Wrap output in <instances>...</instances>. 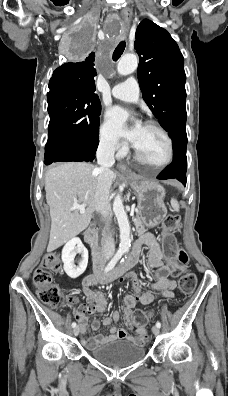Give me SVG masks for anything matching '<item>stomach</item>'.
Wrapping results in <instances>:
<instances>
[{"instance_id":"obj_1","label":"stomach","mask_w":228,"mask_h":396,"mask_svg":"<svg viewBox=\"0 0 228 396\" xmlns=\"http://www.w3.org/2000/svg\"><path fill=\"white\" fill-rule=\"evenodd\" d=\"M126 179L137 196V216L141 223L148 228L158 225L167 214L165 189L155 181L142 180L137 176Z\"/></svg>"}]
</instances>
